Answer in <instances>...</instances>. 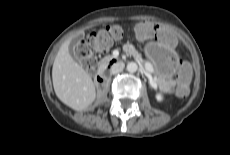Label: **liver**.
I'll use <instances>...</instances> for the list:
<instances>
[{
	"label": "liver",
	"mask_w": 230,
	"mask_h": 155,
	"mask_svg": "<svg viewBox=\"0 0 230 155\" xmlns=\"http://www.w3.org/2000/svg\"><path fill=\"white\" fill-rule=\"evenodd\" d=\"M71 39L60 47L52 68L53 87L57 97L67 106L82 111L96 98L91 76L76 63L69 53Z\"/></svg>",
	"instance_id": "1"
}]
</instances>
